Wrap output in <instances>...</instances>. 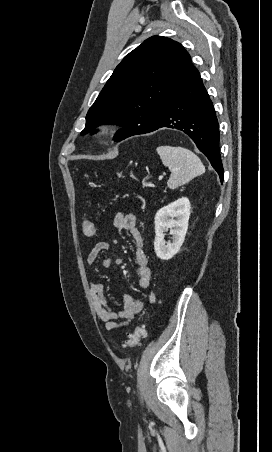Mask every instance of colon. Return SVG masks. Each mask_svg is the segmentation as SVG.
I'll return each instance as SVG.
<instances>
[{
    "label": "colon",
    "instance_id": "colon-1",
    "mask_svg": "<svg viewBox=\"0 0 272 452\" xmlns=\"http://www.w3.org/2000/svg\"><path fill=\"white\" fill-rule=\"evenodd\" d=\"M82 229L85 235L93 236L96 232L95 224L92 220H84L82 223ZM146 332L143 324H139L133 333H131L127 340L124 341V348H134L139 345L142 339L144 338Z\"/></svg>",
    "mask_w": 272,
    "mask_h": 452
}]
</instances>
